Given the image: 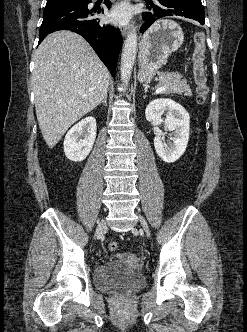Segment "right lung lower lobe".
<instances>
[{
  "mask_svg": "<svg viewBox=\"0 0 247 332\" xmlns=\"http://www.w3.org/2000/svg\"><path fill=\"white\" fill-rule=\"evenodd\" d=\"M108 8L109 0L105 1ZM91 0H61L47 3L43 12V22L39 32V43L45 36L59 30H70L83 36L95 50L99 58L115 76L117 60L122 46V36L118 29L101 25L91 18L96 11L89 10ZM103 13L99 9L98 13Z\"/></svg>",
  "mask_w": 247,
  "mask_h": 332,
  "instance_id": "98d812e1",
  "label": "right lung lower lobe"
}]
</instances>
